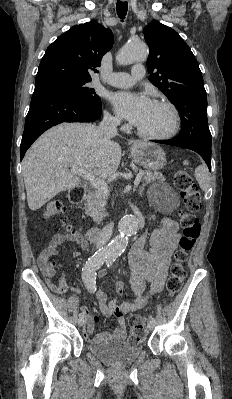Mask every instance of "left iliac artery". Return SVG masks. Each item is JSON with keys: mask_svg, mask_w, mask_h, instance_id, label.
Wrapping results in <instances>:
<instances>
[{"mask_svg": "<svg viewBox=\"0 0 232 399\" xmlns=\"http://www.w3.org/2000/svg\"><path fill=\"white\" fill-rule=\"evenodd\" d=\"M119 256L118 253H109L106 256V264L108 265V267L110 265L113 264V262L116 260V258ZM155 318L154 317H150V322H154Z\"/></svg>", "mask_w": 232, "mask_h": 399, "instance_id": "obj_1", "label": "left iliac artery"}]
</instances>
